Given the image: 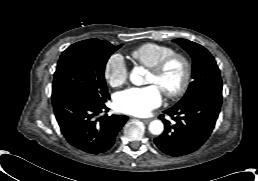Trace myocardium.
Returning a JSON list of instances; mask_svg holds the SVG:
<instances>
[{
	"mask_svg": "<svg viewBox=\"0 0 258 181\" xmlns=\"http://www.w3.org/2000/svg\"><path fill=\"white\" fill-rule=\"evenodd\" d=\"M175 60H178L182 63L183 76L180 84L175 89L162 90L163 93L170 98H175L183 95L189 87L191 74H192V64L189 58L182 53L173 52L165 56L154 66L149 68L150 72L154 73L157 76H160L164 73V71L169 66V64Z\"/></svg>",
	"mask_w": 258,
	"mask_h": 181,
	"instance_id": "myocardium-1",
	"label": "myocardium"
}]
</instances>
